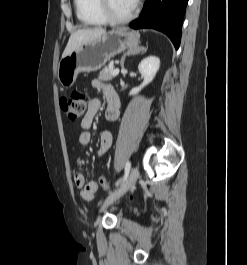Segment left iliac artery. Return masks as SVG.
<instances>
[{
  "instance_id": "left-iliac-artery-1",
  "label": "left iliac artery",
  "mask_w": 247,
  "mask_h": 265,
  "mask_svg": "<svg viewBox=\"0 0 247 265\" xmlns=\"http://www.w3.org/2000/svg\"><path fill=\"white\" fill-rule=\"evenodd\" d=\"M130 168H131V163L130 161H127L126 165H125V173H124V177L123 179L121 180V183H123L127 177H128V174L130 172ZM119 184V182H117V185Z\"/></svg>"
}]
</instances>
